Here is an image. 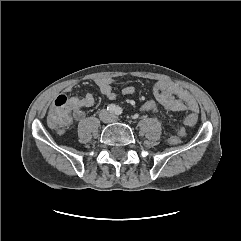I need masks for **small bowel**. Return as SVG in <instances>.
Wrapping results in <instances>:
<instances>
[{
  "label": "small bowel",
  "mask_w": 241,
  "mask_h": 241,
  "mask_svg": "<svg viewBox=\"0 0 241 241\" xmlns=\"http://www.w3.org/2000/svg\"><path fill=\"white\" fill-rule=\"evenodd\" d=\"M96 85L98 86L100 92L108 99H115L117 93L115 92L113 85L114 80L107 77H102L96 79ZM72 86H69L66 91H71ZM135 89L132 86H128L122 89L123 95L134 94ZM154 95L158 103H160L164 108L174 112L180 111H191L193 113H198L199 106L195 98L185 89L180 87L178 84L161 80L155 84ZM69 101L78 106V111L74 114L75 119L80 120L84 116L82 107H92L95 104V99L92 94L88 93L82 98L73 97Z\"/></svg>",
  "instance_id": "obj_1"
}]
</instances>
